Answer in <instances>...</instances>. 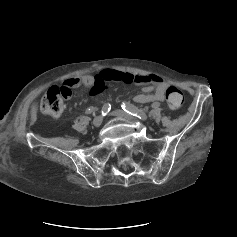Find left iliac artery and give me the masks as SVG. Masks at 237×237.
<instances>
[{
  "mask_svg": "<svg viewBox=\"0 0 237 237\" xmlns=\"http://www.w3.org/2000/svg\"><path fill=\"white\" fill-rule=\"evenodd\" d=\"M160 106L159 102H154L151 107L152 108H158ZM122 108L124 111H126L127 113L136 116L138 118H143L144 113L142 110L138 109L136 106L132 105V104H122Z\"/></svg>",
  "mask_w": 237,
  "mask_h": 237,
  "instance_id": "obj_1",
  "label": "left iliac artery"
}]
</instances>
